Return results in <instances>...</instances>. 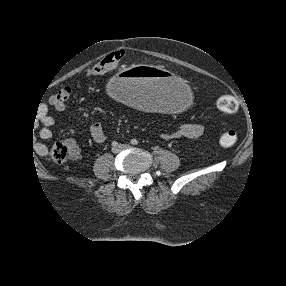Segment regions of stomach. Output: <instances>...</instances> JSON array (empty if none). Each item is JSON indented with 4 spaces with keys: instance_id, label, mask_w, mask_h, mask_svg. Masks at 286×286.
I'll use <instances>...</instances> for the list:
<instances>
[{
    "instance_id": "obj_1",
    "label": "stomach",
    "mask_w": 286,
    "mask_h": 286,
    "mask_svg": "<svg viewBox=\"0 0 286 286\" xmlns=\"http://www.w3.org/2000/svg\"><path fill=\"white\" fill-rule=\"evenodd\" d=\"M104 93L112 101L129 102L157 116H174L184 111L192 98L187 77L174 69L140 64L110 75Z\"/></svg>"
}]
</instances>
